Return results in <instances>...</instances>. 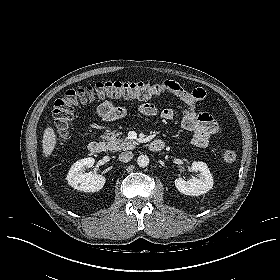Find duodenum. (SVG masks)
<instances>
[{
  "label": "duodenum",
  "instance_id": "obj_1",
  "mask_svg": "<svg viewBox=\"0 0 280 280\" xmlns=\"http://www.w3.org/2000/svg\"><path fill=\"white\" fill-rule=\"evenodd\" d=\"M105 144L102 141L94 140L88 144V151L95 155H100L104 152ZM149 148L153 152H160L164 148V142L160 139L153 140Z\"/></svg>",
  "mask_w": 280,
  "mask_h": 280
}]
</instances>
